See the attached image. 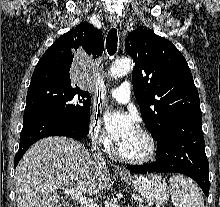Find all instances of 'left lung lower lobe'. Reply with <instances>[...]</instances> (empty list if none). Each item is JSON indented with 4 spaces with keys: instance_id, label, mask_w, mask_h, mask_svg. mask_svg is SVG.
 I'll use <instances>...</instances> for the list:
<instances>
[{
    "instance_id": "0a47b994",
    "label": "left lung lower lobe",
    "mask_w": 220,
    "mask_h": 207,
    "mask_svg": "<svg viewBox=\"0 0 220 207\" xmlns=\"http://www.w3.org/2000/svg\"><path fill=\"white\" fill-rule=\"evenodd\" d=\"M157 160L130 166L135 173H181L194 179L206 196L209 193V164L205 154L201 115H190L173 123L157 140Z\"/></svg>"
}]
</instances>
